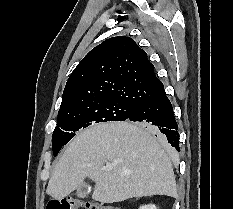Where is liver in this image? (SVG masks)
Instances as JSON below:
<instances>
[{"label":"liver","mask_w":233,"mask_h":209,"mask_svg":"<svg viewBox=\"0 0 233 209\" xmlns=\"http://www.w3.org/2000/svg\"><path fill=\"white\" fill-rule=\"evenodd\" d=\"M155 133L129 121L79 132L59 158L46 193L61 200L89 177L95 182L92 199L101 203L152 195L176 198L171 160Z\"/></svg>","instance_id":"obj_1"}]
</instances>
